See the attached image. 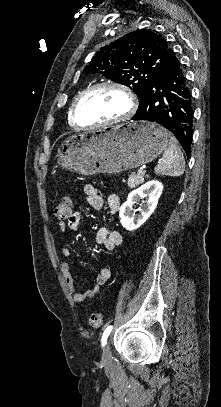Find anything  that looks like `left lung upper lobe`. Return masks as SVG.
<instances>
[{"label":"left lung upper lobe","mask_w":221,"mask_h":407,"mask_svg":"<svg viewBox=\"0 0 221 407\" xmlns=\"http://www.w3.org/2000/svg\"><path fill=\"white\" fill-rule=\"evenodd\" d=\"M174 52L165 39L151 30L140 29L97 51L84 69L126 85L140 99L147 84L172 59Z\"/></svg>","instance_id":"left-lung-upper-lobe-1"}]
</instances>
